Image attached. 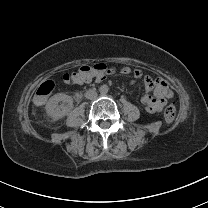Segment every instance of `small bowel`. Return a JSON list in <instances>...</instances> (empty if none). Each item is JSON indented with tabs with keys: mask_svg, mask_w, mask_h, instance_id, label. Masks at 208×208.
<instances>
[{
	"mask_svg": "<svg viewBox=\"0 0 208 208\" xmlns=\"http://www.w3.org/2000/svg\"><path fill=\"white\" fill-rule=\"evenodd\" d=\"M120 73L123 75L133 74L135 79H142L145 87L149 91H153V95H144L141 99L142 104L145 106L147 112L149 113H157L161 111L166 103V101L173 97V92L169 88L167 82L160 77L153 78L148 75H144L140 69L132 70L129 67H124L120 70ZM113 76L112 70H107L106 72H101L98 75V79L96 81H105L108 77ZM92 79H78V80H70V87H82L89 86L90 81Z\"/></svg>",
	"mask_w": 208,
	"mask_h": 208,
	"instance_id": "c3829d8e",
	"label": "small bowel"
}]
</instances>
